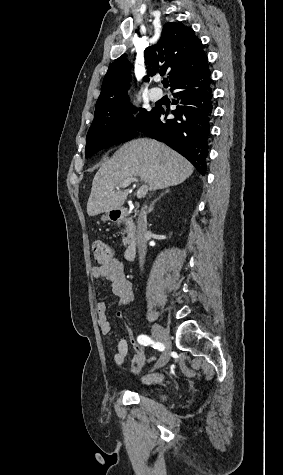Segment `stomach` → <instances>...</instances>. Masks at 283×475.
<instances>
[{
  "instance_id": "stomach-1",
  "label": "stomach",
  "mask_w": 283,
  "mask_h": 475,
  "mask_svg": "<svg viewBox=\"0 0 283 475\" xmlns=\"http://www.w3.org/2000/svg\"><path fill=\"white\" fill-rule=\"evenodd\" d=\"M101 220L102 222H107V220H109V214H105V216H102Z\"/></svg>"
}]
</instances>
